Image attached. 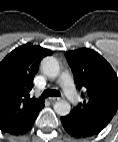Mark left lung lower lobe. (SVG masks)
Returning a JSON list of instances; mask_svg holds the SVG:
<instances>
[{
    "mask_svg": "<svg viewBox=\"0 0 118 142\" xmlns=\"http://www.w3.org/2000/svg\"><path fill=\"white\" fill-rule=\"evenodd\" d=\"M65 130L74 137H87L96 134L86 124L72 115L61 117Z\"/></svg>",
    "mask_w": 118,
    "mask_h": 142,
    "instance_id": "0a47b994",
    "label": "left lung lower lobe"
}]
</instances>
